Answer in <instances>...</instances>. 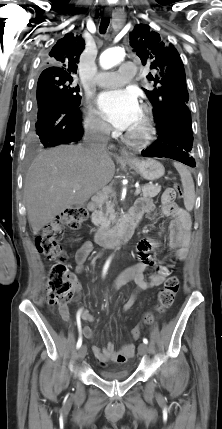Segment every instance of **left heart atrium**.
Instances as JSON below:
<instances>
[{
  "label": "left heart atrium",
  "instance_id": "obj_1",
  "mask_svg": "<svg viewBox=\"0 0 222 429\" xmlns=\"http://www.w3.org/2000/svg\"><path fill=\"white\" fill-rule=\"evenodd\" d=\"M97 106L101 116L118 130L131 129L141 114L137 95L128 89L102 92Z\"/></svg>",
  "mask_w": 222,
  "mask_h": 429
}]
</instances>
